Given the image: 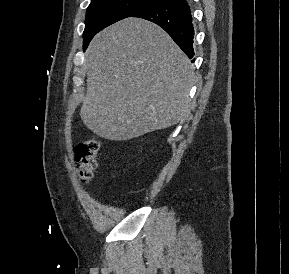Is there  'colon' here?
<instances>
[{"instance_id":"colon-1","label":"colon","mask_w":289,"mask_h":274,"mask_svg":"<svg viewBox=\"0 0 289 274\" xmlns=\"http://www.w3.org/2000/svg\"><path fill=\"white\" fill-rule=\"evenodd\" d=\"M98 151L99 141L95 137H90L75 147L80 175L84 181H89L93 176L94 170L97 167Z\"/></svg>"}]
</instances>
